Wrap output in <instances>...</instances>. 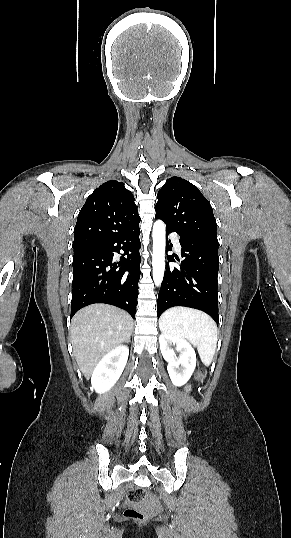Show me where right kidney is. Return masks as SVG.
I'll list each match as a JSON object with an SVG mask.
<instances>
[{"instance_id":"ca27d5eb","label":"right kidney","mask_w":291,"mask_h":538,"mask_svg":"<svg viewBox=\"0 0 291 538\" xmlns=\"http://www.w3.org/2000/svg\"><path fill=\"white\" fill-rule=\"evenodd\" d=\"M128 355L129 348L126 345H119L108 352L93 371L91 388L100 394L111 389L120 378Z\"/></svg>"}]
</instances>
